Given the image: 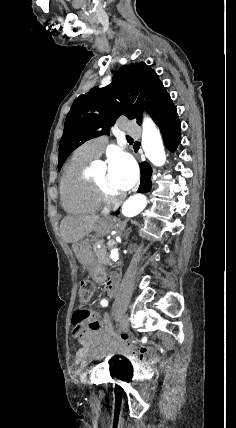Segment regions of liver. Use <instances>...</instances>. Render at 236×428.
Here are the masks:
<instances>
[{
	"label": "liver",
	"instance_id": "liver-1",
	"mask_svg": "<svg viewBox=\"0 0 236 428\" xmlns=\"http://www.w3.org/2000/svg\"><path fill=\"white\" fill-rule=\"evenodd\" d=\"M98 224L99 216H65L60 224L61 238L66 244H75L95 230Z\"/></svg>",
	"mask_w": 236,
	"mask_h": 428
}]
</instances>
